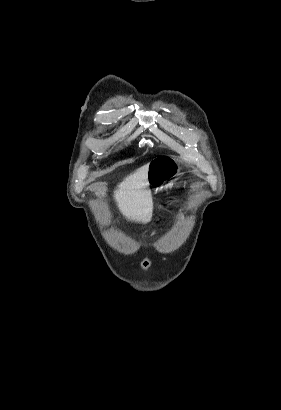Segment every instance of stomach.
Masks as SVG:
<instances>
[{
	"label": "stomach",
	"mask_w": 281,
	"mask_h": 410,
	"mask_svg": "<svg viewBox=\"0 0 281 410\" xmlns=\"http://www.w3.org/2000/svg\"><path fill=\"white\" fill-rule=\"evenodd\" d=\"M181 163L173 156L154 158L148 166V186L162 189L172 178L180 174Z\"/></svg>",
	"instance_id": "1"
}]
</instances>
